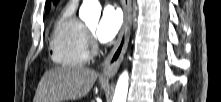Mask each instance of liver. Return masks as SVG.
Instances as JSON below:
<instances>
[{
    "label": "liver",
    "mask_w": 221,
    "mask_h": 102,
    "mask_svg": "<svg viewBox=\"0 0 221 102\" xmlns=\"http://www.w3.org/2000/svg\"><path fill=\"white\" fill-rule=\"evenodd\" d=\"M98 77L94 70L63 66L45 72L41 78L34 102H63L85 97Z\"/></svg>",
    "instance_id": "obj_1"
}]
</instances>
